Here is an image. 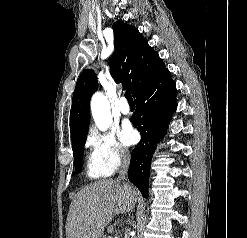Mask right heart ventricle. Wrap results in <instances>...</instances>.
<instances>
[{
  "label": "right heart ventricle",
  "instance_id": "obj_1",
  "mask_svg": "<svg viewBox=\"0 0 247 238\" xmlns=\"http://www.w3.org/2000/svg\"><path fill=\"white\" fill-rule=\"evenodd\" d=\"M85 172L88 178L94 180L108 177L111 174L93 152L86 158Z\"/></svg>",
  "mask_w": 247,
  "mask_h": 238
}]
</instances>
